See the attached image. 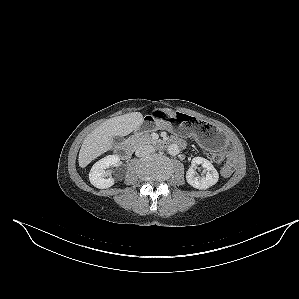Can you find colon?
<instances>
[{"label": "colon", "mask_w": 299, "mask_h": 299, "mask_svg": "<svg viewBox=\"0 0 299 299\" xmlns=\"http://www.w3.org/2000/svg\"><path fill=\"white\" fill-rule=\"evenodd\" d=\"M209 156L211 157V159L219 166H223L225 158L222 152L219 151H215V152H211L209 153ZM232 164L227 163L223 166L222 168V173L225 176H228L232 173Z\"/></svg>", "instance_id": "5ec220e1"}]
</instances>
